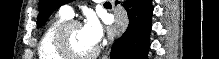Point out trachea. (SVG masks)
I'll list each match as a JSON object with an SVG mask.
<instances>
[{
    "mask_svg": "<svg viewBox=\"0 0 219 59\" xmlns=\"http://www.w3.org/2000/svg\"><path fill=\"white\" fill-rule=\"evenodd\" d=\"M105 4H110V2H105Z\"/></svg>",
    "mask_w": 219,
    "mask_h": 59,
    "instance_id": "obj_1",
    "label": "trachea"
}]
</instances>
